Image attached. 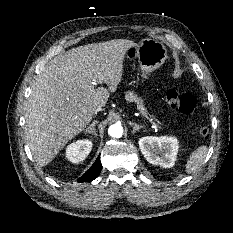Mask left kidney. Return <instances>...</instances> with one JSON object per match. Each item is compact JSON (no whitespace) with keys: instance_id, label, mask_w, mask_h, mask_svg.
<instances>
[{"instance_id":"left-kidney-1","label":"left kidney","mask_w":233,"mask_h":233,"mask_svg":"<svg viewBox=\"0 0 233 233\" xmlns=\"http://www.w3.org/2000/svg\"><path fill=\"white\" fill-rule=\"evenodd\" d=\"M139 148L149 163L171 168L175 164L179 146L175 137L146 136L139 139Z\"/></svg>"}]
</instances>
